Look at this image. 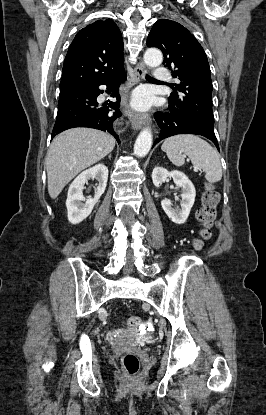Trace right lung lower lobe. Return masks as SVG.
<instances>
[{
	"instance_id": "obj_1",
	"label": "right lung lower lobe",
	"mask_w": 266,
	"mask_h": 415,
	"mask_svg": "<svg viewBox=\"0 0 266 415\" xmlns=\"http://www.w3.org/2000/svg\"><path fill=\"white\" fill-rule=\"evenodd\" d=\"M126 78L123 70L105 80L60 92L57 118L51 138L69 128L90 127L109 132L119 142V137L114 131V123L122 115L118 109L120 106L118 88ZM100 85H106L108 89L106 92L111 91L112 97L117 101L99 105L97 97L104 92L99 88Z\"/></svg>"
}]
</instances>
